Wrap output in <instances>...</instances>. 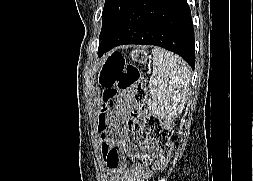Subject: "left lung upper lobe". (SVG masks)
Here are the masks:
<instances>
[{"label":"left lung upper lobe","mask_w":253,"mask_h":181,"mask_svg":"<svg viewBox=\"0 0 253 181\" xmlns=\"http://www.w3.org/2000/svg\"><path fill=\"white\" fill-rule=\"evenodd\" d=\"M131 0H105L102 13V29L99 39L101 40L114 26Z\"/></svg>","instance_id":"left-lung-upper-lobe-1"}]
</instances>
